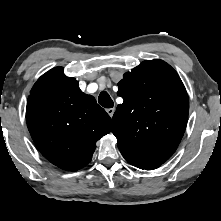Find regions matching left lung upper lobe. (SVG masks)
I'll return each instance as SVG.
<instances>
[{
	"instance_id": "obj_1",
	"label": "left lung upper lobe",
	"mask_w": 221,
	"mask_h": 221,
	"mask_svg": "<svg viewBox=\"0 0 221 221\" xmlns=\"http://www.w3.org/2000/svg\"><path fill=\"white\" fill-rule=\"evenodd\" d=\"M123 103L113 115L119 150L163 164L176 151L189 111L186 89L166 62L144 61L118 83Z\"/></svg>"
}]
</instances>
